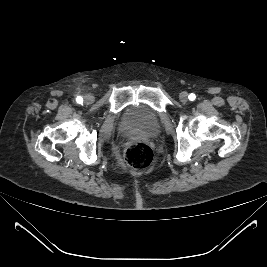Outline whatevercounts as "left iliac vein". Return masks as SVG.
<instances>
[{"mask_svg":"<svg viewBox=\"0 0 267 267\" xmlns=\"http://www.w3.org/2000/svg\"><path fill=\"white\" fill-rule=\"evenodd\" d=\"M188 93L187 92H181L179 95V99L181 102L186 103L188 101Z\"/></svg>","mask_w":267,"mask_h":267,"instance_id":"4c4485c4","label":"left iliac vein"}]
</instances>
